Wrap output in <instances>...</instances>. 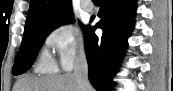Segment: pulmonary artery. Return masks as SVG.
<instances>
[{
    "instance_id": "e3ab8cb5",
    "label": "pulmonary artery",
    "mask_w": 173,
    "mask_h": 91,
    "mask_svg": "<svg viewBox=\"0 0 173 91\" xmlns=\"http://www.w3.org/2000/svg\"><path fill=\"white\" fill-rule=\"evenodd\" d=\"M82 8L87 12H91L94 9V5L92 1L86 0V1H82Z\"/></svg>"
}]
</instances>
